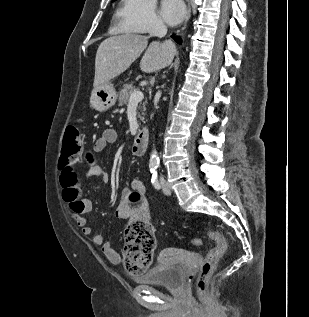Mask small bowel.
Segmentation results:
<instances>
[{"instance_id":"obj_1","label":"small bowel","mask_w":309,"mask_h":317,"mask_svg":"<svg viewBox=\"0 0 309 317\" xmlns=\"http://www.w3.org/2000/svg\"><path fill=\"white\" fill-rule=\"evenodd\" d=\"M116 140L117 132L112 128L105 129L102 135L94 142L93 152L100 153L104 151L108 145L115 143ZM86 164V177H99L103 182L108 181V174L100 166L97 157L93 153L86 155ZM61 176H65V182L61 181V185L67 212L81 229L82 235L89 237L93 245L99 246L110 263H121L122 256L112 247L111 243L104 240L102 234L93 232V229L88 225L86 214L92 210L93 204L91 199L83 196L73 167L71 166L61 171ZM131 188L139 195V199L136 201L132 200V193L129 190H125L115 212L116 217L119 219L135 220L137 217L144 215L147 210L146 189L143 183L139 180H133Z\"/></svg>"}]
</instances>
